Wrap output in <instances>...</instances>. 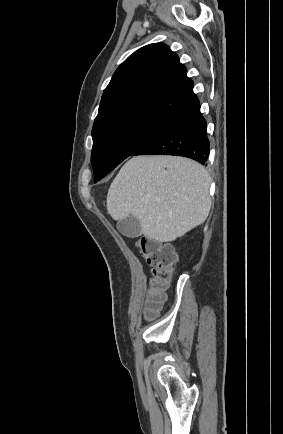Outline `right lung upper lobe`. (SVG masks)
Returning <instances> with one entry per match:
<instances>
[{
    "mask_svg": "<svg viewBox=\"0 0 283 434\" xmlns=\"http://www.w3.org/2000/svg\"><path fill=\"white\" fill-rule=\"evenodd\" d=\"M193 86L186 67L167 45H146L115 71L104 90L93 126L129 113L175 119L199 104Z\"/></svg>",
    "mask_w": 283,
    "mask_h": 434,
    "instance_id": "1",
    "label": "right lung upper lobe"
}]
</instances>
